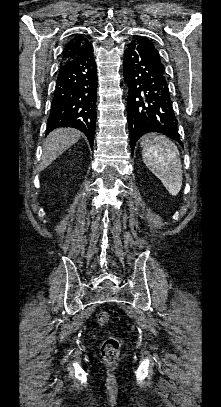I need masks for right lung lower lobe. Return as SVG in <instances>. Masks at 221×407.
<instances>
[{
  "instance_id": "1",
  "label": "right lung lower lobe",
  "mask_w": 221,
  "mask_h": 407,
  "mask_svg": "<svg viewBox=\"0 0 221 407\" xmlns=\"http://www.w3.org/2000/svg\"><path fill=\"white\" fill-rule=\"evenodd\" d=\"M97 73L89 42L78 56L60 64L47 133L59 127L81 130L93 145L96 129Z\"/></svg>"
}]
</instances>
